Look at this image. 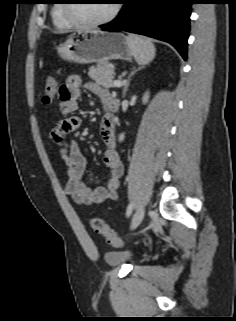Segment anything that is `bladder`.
<instances>
[{
	"label": "bladder",
	"instance_id": "31cf9c89",
	"mask_svg": "<svg viewBox=\"0 0 236 321\" xmlns=\"http://www.w3.org/2000/svg\"><path fill=\"white\" fill-rule=\"evenodd\" d=\"M133 258L134 255L131 252H107L105 254L106 261L112 266L131 261Z\"/></svg>",
	"mask_w": 236,
	"mask_h": 321
}]
</instances>
